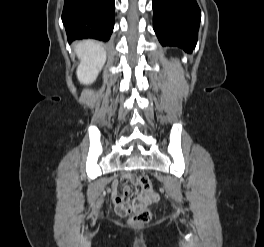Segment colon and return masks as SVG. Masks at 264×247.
Returning a JSON list of instances; mask_svg holds the SVG:
<instances>
[{"label": "colon", "instance_id": "1", "mask_svg": "<svg viewBox=\"0 0 264 247\" xmlns=\"http://www.w3.org/2000/svg\"><path fill=\"white\" fill-rule=\"evenodd\" d=\"M132 184L138 196L125 198L118 202L117 208L124 215H130L132 224H146L151 219V211L147 208V201L156 198L152 183L148 176L140 174L132 177ZM145 195L147 198H143Z\"/></svg>", "mask_w": 264, "mask_h": 247}]
</instances>
